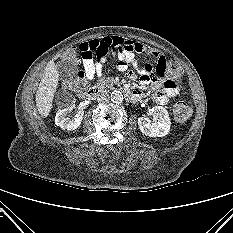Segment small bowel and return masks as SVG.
Instances as JSON below:
<instances>
[{"instance_id": "1", "label": "small bowel", "mask_w": 233, "mask_h": 233, "mask_svg": "<svg viewBox=\"0 0 233 233\" xmlns=\"http://www.w3.org/2000/svg\"><path fill=\"white\" fill-rule=\"evenodd\" d=\"M77 52L83 60L85 75L88 79L102 75V68L107 63L109 53L117 60V67L121 71L126 70L130 64L136 63L135 53L145 54L157 60V67L159 63L165 61V57L160 51L149 48L140 42L125 40L120 37H105L83 42L78 46ZM140 74L141 85L151 84L154 91L153 99L160 105L167 104L169 98L176 96L180 91V87L173 86L170 79L164 80L156 77L150 64H146L140 70ZM127 77L135 79L136 74L133 71H128ZM134 92L137 98L142 96L140 90L135 89Z\"/></svg>"}]
</instances>
